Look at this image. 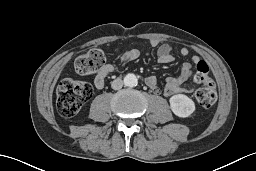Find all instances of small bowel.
I'll use <instances>...</instances> for the list:
<instances>
[{"mask_svg": "<svg viewBox=\"0 0 256 171\" xmlns=\"http://www.w3.org/2000/svg\"><path fill=\"white\" fill-rule=\"evenodd\" d=\"M152 47L157 48V58L158 61L162 64H169L173 62L174 57L172 55L173 48L171 44L162 41L160 39H152L150 42ZM180 54L182 56L189 55V49L183 47L180 50ZM139 56V51L137 49H130L126 51L121 59L122 61H133ZM200 58L198 56L193 57V63L200 62ZM116 70L115 65L111 63L104 64L99 71H97L95 78H94V85L97 89H102L105 84V79L114 73ZM192 76V63L186 62L182 65L179 75L175 77H169L166 79L163 94L166 97H169L174 94L190 92L193 90L192 84L185 85L188 80ZM146 84L151 88V90L155 93L159 92L158 82L155 77L149 76L145 80Z\"/></svg>", "mask_w": 256, "mask_h": 171, "instance_id": "1", "label": "small bowel"}]
</instances>
